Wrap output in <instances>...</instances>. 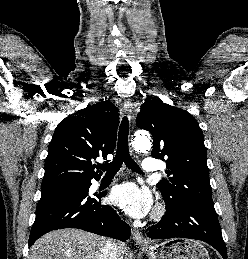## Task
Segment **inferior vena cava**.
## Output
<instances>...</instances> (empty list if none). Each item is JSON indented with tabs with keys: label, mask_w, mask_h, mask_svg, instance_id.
<instances>
[{
	"label": "inferior vena cava",
	"mask_w": 248,
	"mask_h": 259,
	"mask_svg": "<svg viewBox=\"0 0 248 259\" xmlns=\"http://www.w3.org/2000/svg\"><path fill=\"white\" fill-rule=\"evenodd\" d=\"M101 259H118V247L114 240H106L102 250Z\"/></svg>",
	"instance_id": "602c4592"
}]
</instances>
